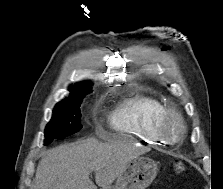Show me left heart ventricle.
I'll return each mask as SVG.
<instances>
[{
    "mask_svg": "<svg viewBox=\"0 0 223 189\" xmlns=\"http://www.w3.org/2000/svg\"><path fill=\"white\" fill-rule=\"evenodd\" d=\"M180 125L177 121H172L170 126H169V132L171 137L176 138L180 135Z\"/></svg>",
    "mask_w": 223,
    "mask_h": 189,
    "instance_id": "b2bd125f",
    "label": "left heart ventricle"
}]
</instances>
